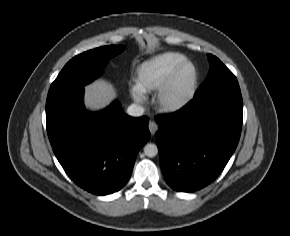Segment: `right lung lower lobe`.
<instances>
[{
  "label": "right lung lower lobe",
  "mask_w": 290,
  "mask_h": 236,
  "mask_svg": "<svg viewBox=\"0 0 290 236\" xmlns=\"http://www.w3.org/2000/svg\"><path fill=\"white\" fill-rule=\"evenodd\" d=\"M83 91V85L49 90L48 137L58 161L78 186L97 195L111 194L128 182L137 153L150 138L149 119L126 115L117 101L90 113Z\"/></svg>",
  "instance_id": "1"
}]
</instances>
